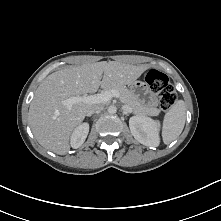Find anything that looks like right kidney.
Wrapping results in <instances>:
<instances>
[{
	"label": "right kidney",
	"mask_w": 221,
	"mask_h": 221,
	"mask_svg": "<svg viewBox=\"0 0 221 221\" xmlns=\"http://www.w3.org/2000/svg\"><path fill=\"white\" fill-rule=\"evenodd\" d=\"M89 132V124L83 123L75 128L71 135V147L74 149L79 148L85 141Z\"/></svg>",
	"instance_id": "ca27d5eb"
}]
</instances>
